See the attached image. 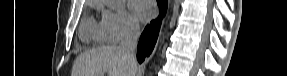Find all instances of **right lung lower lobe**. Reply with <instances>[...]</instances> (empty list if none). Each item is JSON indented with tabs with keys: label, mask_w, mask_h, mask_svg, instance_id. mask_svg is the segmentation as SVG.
Instances as JSON below:
<instances>
[{
	"label": "right lung lower lobe",
	"mask_w": 287,
	"mask_h": 76,
	"mask_svg": "<svg viewBox=\"0 0 287 76\" xmlns=\"http://www.w3.org/2000/svg\"><path fill=\"white\" fill-rule=\"evenodd\" d=\"M157 2L160 7L159 17L146 26L138 43L137 60L139 63H142L145 57L151 54L157 40L161 20L166 13L168 1L157 0Z\"/></svg>",
	"instance_id": "1"
}]
</instances>
